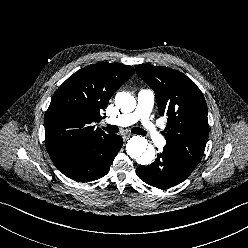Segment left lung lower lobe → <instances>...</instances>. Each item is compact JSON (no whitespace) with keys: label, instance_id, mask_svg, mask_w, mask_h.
<instances>
[{"label":"left lung lower lobe","instance_id":"obj_1","mask_svg":"<svg viewBox=\"0 0 248 248\" xmlns=\"http://www.w3.org/2000/svg\"><path fill=\"white\" fill-rule=\"evenodd\" d=\"M193 170L163 150L151 165L138 167L136 173L145 183L159 189H166L183 182Z\"/></svg>","mask_w":248,"mask_h":248}]
</instances>
